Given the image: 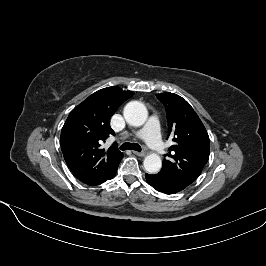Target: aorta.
Masks as SVG:
<instances>
[{"mask_svg":"<svg viewBox=\"0 0 266 266\" xmlns=\"http://www.w3.org/2000/svg\"><path fill=\"white\" fill-rule=\"evenodd\" d=\"M124 117L130 125L138 127L146 122L148 111L143 103L131 101L124 108ZM143 165L148 173L154 174L160 171L162 161L159 155L151 153L145 157Z\"/></svg>","mask_w":266,"mask_h":266,"instance_id":"aorta-1","label":"aorta"}]
</instances>
